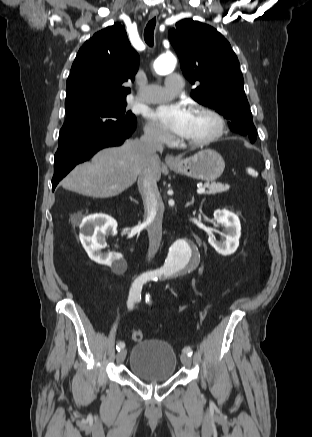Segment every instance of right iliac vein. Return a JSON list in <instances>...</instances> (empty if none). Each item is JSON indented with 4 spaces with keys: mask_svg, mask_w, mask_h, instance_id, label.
Instances as JSON below:
<instances>
[{
    "mask_svg": "<svg viewBox=\"0 0 312 437\" xmlns=\"http://www.w3.org/2000/svg\"><path fill=\"white\" fill-rule=\"evenodd\" d=\"M127 351L126 349H121L116 356L117 362L122 363L126 357Z\"/></svg>",
    "mask_w": 312,
    "mask_h": 437,
    "instance_id": "63e3f726",
    "label": "right iliac vein"
}]
</instances>
